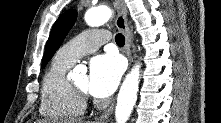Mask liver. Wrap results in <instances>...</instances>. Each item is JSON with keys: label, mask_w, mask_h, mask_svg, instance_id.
<instances>
[{"label": "liver", "mask_w": 221, "mask_h": 123, "mask_svg": "<svg viewBox=\"0 0 221 123\" xmlns=\"http://www.w3.org/2000/svg\"><path fill=\"white\" fill-rule=\"evenodd\" d=\"M69 123H84L82 120L72 119V120H66ZM35 123H47L46 120H37Z\"/></svg>", "instance_id": "6515ba94"}]
</instances>
